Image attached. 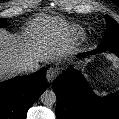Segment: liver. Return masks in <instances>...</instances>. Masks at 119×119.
<instances>
[{"label":"liver","instance_id":"1","mask_svg":"<svg viewBox=\"0 0 119 119\" xmlns=\"http://www.w3.org/2000/svg\"><path fill=\"white\" fill-rule=\"evenodd\" d=\"M57 27L53 20H40L28 27L23 35L0 29V82L22 74L20 66L39 62L61 61L72 50L65 35H48Z\"/></svg>","mask_w":119,"mask_h":119}]
</instances>
